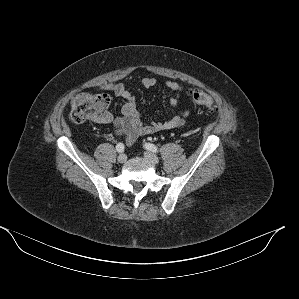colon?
Segmentation results:
<instances>
[{
  "label": "colon",
  "instance_id": "obj_1",
  "mask_svg": "<svg viewBox=\"0 0 299 299\" xmlns=\"http://www.w3.org/2000/svg\"><path fill=\"white\" fill-rule=\"evenodd\" d=\"M192 98L196 104L205 108L208 113L214 114L216 109L213 98L202 90H193ZM110 103L106 94L79 93L70 103L69 117L75 123L95 120L101 117Z\"/></svg>",
  "mask_w": 299,
  "mask_h": 299
}]
</instances>
